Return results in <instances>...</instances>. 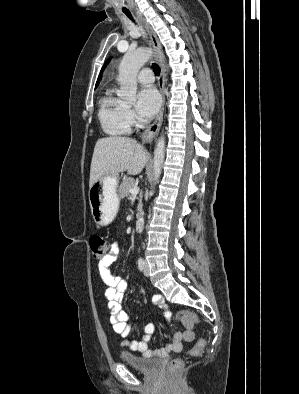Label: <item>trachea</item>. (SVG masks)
I'll use <instances>...</instances> for the list:
<instances>
[{
  "instance_id": "1",
  "label": "trachea",
  "mask_w": 299,
  "mask_h": 394,
  "mask_svg": "<svg viewBox=\"0 0 299 394\" xmlns=\"http://www.w3.org/2000/svg\"><path fill=\"white\" fill-rule=\"evenodd\" d=\"M123 12H124V14H125L129 19H131L132 21H134V20H133V17H132V14L130 13V11H123ZM152 68H153L154 73H155L157 76H159V75H160V68H159V66H158L157 64L153 63V64H152Z\"/></svg>"
}]
</instances>
